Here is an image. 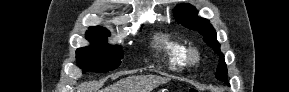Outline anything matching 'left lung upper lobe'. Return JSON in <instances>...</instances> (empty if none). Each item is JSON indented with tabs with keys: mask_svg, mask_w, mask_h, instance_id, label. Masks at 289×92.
<instances>
[{
	"mask_svg": "<svg viewBox=\"0 0 289 92\" xmlns=\"http://www.w3.org/2000/svg\"><path fill=\"white\" fill-rule=\"evenodd\" d=\"M173 13L178 23L182 24L186 28L198 31L203 35L204 41L220 56L215 76L217 79L227 82V68L224 61V55L220 51V45L216 39L215 29L209 21L197 16L198 11L196 8L188 3L177 5L174 8Z\"/></svg>",
	"mask_w": 289,
	"mask_h": 92,
	"instance_id": "1",
	"label": "left lung upper lobe"
}]
</instances>
